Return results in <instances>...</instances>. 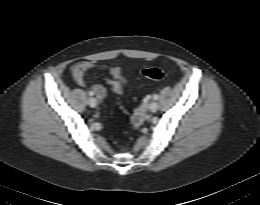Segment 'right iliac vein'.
Segmentation results:
<instances>
[{"mask_svg":"<svg viewBox=\"0 0 260 205\" xmlns=\"http://www.w3.org/2000/svg\"><path fill=\"white\" fill-rule=\"evenodd\" d=\"M88 104L90 107L95 108L97 106V100L93 97L88 99Z\"/></svg>","mask_w":260,"mask_h":205,"instance_id":"obj_1","label":"right iliac vein"}]
</instances>
